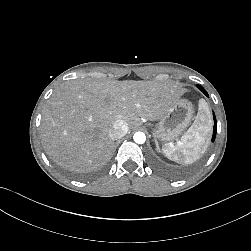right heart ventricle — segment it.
Returning a JSON list of instances; mask_svg holds the SVG:
<instances>
[{"instance_id":"obj_1","label":"right heart ventricle","mask_w":251,"mask_h":251,"mask_svg":"<svg viewBox=\"0 0 251 251\" xmlns=\"http://www.w3.org/2000/svg\"><path fill=\"white\" fill-rule=\"evenodd\" d=\"M172 94V91L167 92L163 95L164 99H168L170 97V95Z\"/></svg>"}]
</instances>
